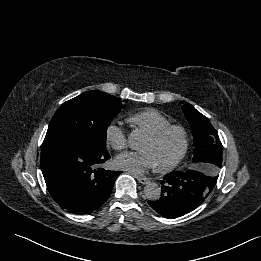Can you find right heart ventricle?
Masks as SVG:
<instances>
[{
    "instance_id": "obj_1",
    "label": "right heart ventricle",
    "mask_w": 261,
    "mask_h": 261,
    "mask_svg": "<svg viewBox=\"0 0 261 261\" xmlns=\"http://www.w3.org/2000/svg\"><path fill=\"white\" fill-rule=\"evenodd\" d=\"M128 120L145 131L148 135L171 124L166 115L159 110L152 108L140 111L130 116Z\"/></svg>"
}]
</instances>
